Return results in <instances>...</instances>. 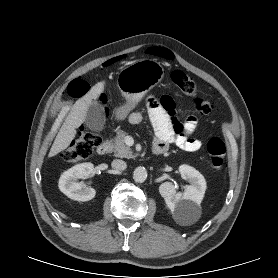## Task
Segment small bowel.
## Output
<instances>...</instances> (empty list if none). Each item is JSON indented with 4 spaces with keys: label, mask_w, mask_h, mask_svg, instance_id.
Masks as SVG:
<instances>
[{
    "label": "small bowel",
    "mask_w": 278,
    "mask_h": 278,
    "mask_svg": "<svg viewBox=\"0 0 278 278\" xmlns=\"http://www.w3.org/2000/svg\"><path fill=\"white\" fill-rule=\"evenodd\" d=\"M174 109L175 104L169 96H162L160 100L149 98L147 101V115L154 129L153 146L165 152L169 144L174 143L185 151H198L203 143L192 137L198 124L197 117L190 115L184 123H180L174 117ZM143 119L142 112H134L129 116L131 124H139Z\"/></svg>",
    "instance_id": "obj_1"
}]
</instances>
